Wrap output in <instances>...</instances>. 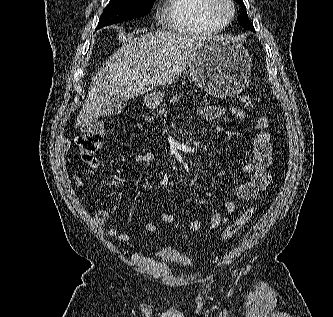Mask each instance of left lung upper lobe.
I'll return each mask as SVG.
<instances>
[{
  "label": "left lung upper lobe",
  "instance_id": "left-lung-upper-lobe-1",
  "mask_svg": "<svg viewBox=\"0 0 333 317\" xmlns=\"http://www.w3.org/2000/svg\"><path fill=\"white\" fill-rule=\"evenodd\" d=\"M236 2L239 3L242 7H244V11L238 17V23L240 25H242L243 27L247 28V29L255 31L253 24L248 19V15H247L246 8L244 6L243 1L242 0H236Z\"/></svg>",
  "mask_w": 333,
  "mask_h": 317
}]
</instances>
